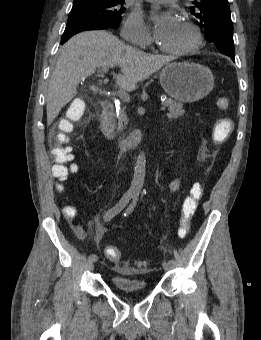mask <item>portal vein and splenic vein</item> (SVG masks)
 Returning a JSON list of instances; mask_svg holds the SVG:
<instances>
[{"instance_id":"18ae733b","label":"portal vein and splenic vein","mask_w":261,"mask_h":340,"mask_svg":"<svg viewBox=\"0 0 261 340\" xmlns=\"http://www.w3.org/2000/svg\"><path fill=\"white\" fill-rule=\"evenodd\" d=\"M108 70H109V67L106 66V65H104V66L102 67V69H101V71H102L103 73H107ZM118 96H119V98H120L121 100H123L124 102H129V101H130V96H129V94H128L127 92L120 91V92L118 93ZM165 109H166V107H165L164 105H162L161 108H160L161 111H165Z\"/></svg>"}]
</instances>
